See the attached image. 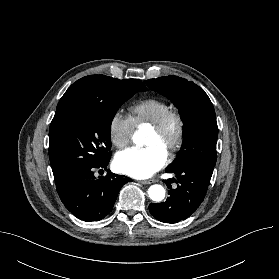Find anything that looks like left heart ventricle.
<instances>
[{"instance_id": "left-heart-ventricle-1", "label": "left heart ventricle", "mask_w": 279, "mask_h": 279, "mask_svg": "<svg viewBox=\"0 0 279 279\" xmlns=\"http://www.w3.org/2000/svg\"><path fill=\"white\" fill-rule=\"evenodd\" d=\"M176 135V127L172 124L167 131L164 133H156L153 130H150L145 144L147 146L156 145L162 148L164 151L168 152L170 146L172 145Z\"/></svg>"}]
</instances>
